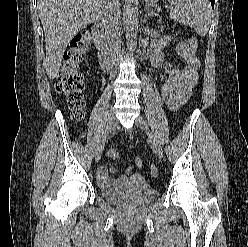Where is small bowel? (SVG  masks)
I'll return each instance as SVG.
<instances>
[{"label":"small bowel","mask_w":248,"mask_h":247,"mask_svg":"<svg viewBox=\"0 0 248 247\" xmlns=\"http://www.w3.org/2000/svg\"><path fill=\"white\" fill-rule=\"evenodd\" d=\"M167 42V38L156 41L151 52V64L159 73V80L163 83L170 81L175 86V94L173 96L170 108L172 110L178 109L184 104L190 97L193 87L197 83L199 60L194 51L186 43H179L176 51L180 57L185 61L183 69H177L172 66L162 65V53L161 48ZM135 165L140 167L142 165L141 159L137 158ZM131 167L127 168L126 174L113 178L111 173L113 168L107 169L104 166H100L97 169L98 181L102 186H117L124 187L130 181Z\"/></svg>","instance_id":"obj_1"}]
</instances>
